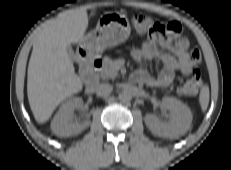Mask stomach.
<instances>
[{
	"mask_svg": "<svg viewBox=\"0 0 231 170\" xmlns=\"http://www.w3.org/2000/svg\"><path fill=\"white\" fill-rule=\"evenodd\" d=\"M130 31L131 27L125 15L106 12L99 18L96 28L84 36L82 46L99 55L106 48L126 41Z\"/></svg>",
	"mask_w": 231,
	"mask_h": 170,
	"instance_id": "1",
	"label": "stomach"
}]
</instances>
